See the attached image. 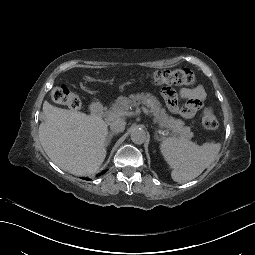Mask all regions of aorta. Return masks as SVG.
<instances>
[{
	"label": "aorta",
	"mask_w": 255,
	"mask_h": 255,
	"mask_svg": "<svg viewBox=\"0 0 255 255\" xmlns=\"http://www.w3.org/2000/svg\"><path fill=\"white\" fill-rule=\"evenodd\" d=\"M131 140L133 143L135 144H143L146 140V132L144 129L142 128H134L132 131H131Z\"/></svg>",
	"instance_id": "1"
}]
</instances>
